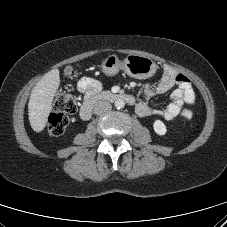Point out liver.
I'll list each match as a JSON object with an SVG mask.
<instances>
[{
  "mask_svg": "<svg viewBox=\"0 0 227 227\" xmlns=\"http://www.w3.org/2000/svg\"><path fill=\"white\" fill-rule=\"evenodd\" d=\"M59 85V70L52 69L32 89L28 103V115L30 125L35 132L44 130Z\"/></svg>",
  "mask_w": 227,
  "mask_h": 227,
  "instance_id": "1",
  "label": "liver"
}]
</instances>
